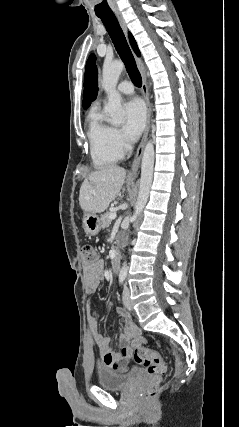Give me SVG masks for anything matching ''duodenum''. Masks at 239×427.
I'll use <instances>...</instances> for the list:
<instances>
[{"label": "duodenum", "mask_w": 239, "mask_h": 427, "mask_svg": "<svg viewBox=\"0 0 239 427\" xmlns=\"http://www.w3.org/2000/svg\"><path fill=\"white\" fill-rule=\"evenodd\" d=\"M111 269L114 274H118L120 270V258L117 254L112 259Z\"/></svg>", "instance_id": "410a0bca"}]
</instances>
